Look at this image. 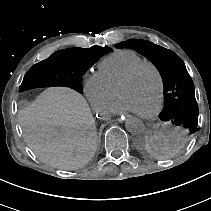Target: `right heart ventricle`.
I'll return each mask as SVG.
<instances>
[{"instance_id":"e07e8e85","label":"right heart ventricle","mask_w":211,"mask_h":211,"mask_svg":"<svg viewBox=\"0 0 211 211\" xmlns=\"http://www.w3.org/2000/svg\"><path fill=\"white\" fill-rule=\"evenodd\" d=\"M145 59L132 51H120L98 64V74L112 89L116 83L134 66L144 62Z\"/></svg>"}]
</instances>
